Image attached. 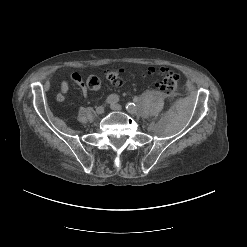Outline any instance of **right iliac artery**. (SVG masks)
<instances>
[{"label": "right iliac artery", "mask_w": 247, "mask_h": 247, "mask_svg": "<svg viewBox=\"0 0 247 247\" xmlns=\"http://www.w3.org/2000/svg\"><path fill=\"white\" fill-rule=\"evenodd\" d=\"M119 101V96L116 94H111L107 97L106 102L108 104H115Z\"/></svg>", "instance_id": "obj_1"}]
</instances>
